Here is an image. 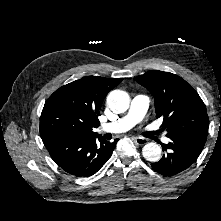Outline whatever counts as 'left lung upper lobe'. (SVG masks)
I'll return each instance as SVG.
<instances>
[{"label":"left lung upper lobe","mask_w":221,"mask_h":221,"mask_svg":"<svg viewBox=\"0 0 221 221\" xmlns=\"http://www.w3.org/2000/svg\"><path fill=\"white\" fill-rule=\"evenodd\" d=\"M134 80L154 96L156 114L163 118L161 127L168 138L208 133L206 107L198 93L184 79L169 72L152 70Z\"/></svg>","instance_id":"5c2ea615"}]
</instances>
